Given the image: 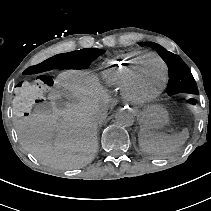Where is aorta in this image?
<instances>
[{"label": "aorta", "mask_w": 211, "mask_h": 211, "mask_svg": "<svg viewBox=\"0 0 211 211\" xmlns=\"http://www.w3.org/2000/svg\"><path fill=\"white\" fill-rule=\"evenodd\" d=\"M115 120L119 125L131 126L134 124V115L131 110L120 109L115 115Z\"/></svg>", "instance_id": "aorta-1"}]
</instances>
